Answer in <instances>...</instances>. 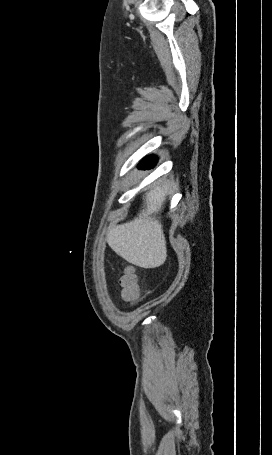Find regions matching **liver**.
Here are the masks:
<instances>
[{"label": "liver", "mask_w": 272, "mask_h": 455, "mask_svg": "<svg viewBox=\"0 0 272 455\" xmlns=\"http://www.w3.org/2000/svg\"><path fill=\"white\" fill-rule=\"evenodd\" d=\"M168 190L155 186L143 196L145 208L133 221L112 227L106 237L112 250L129 263L145 269L161 266L167 257L162 225L150 217L163 209Z\"/></svg>", "instance_id": "6515ba94"}]
</instances>
